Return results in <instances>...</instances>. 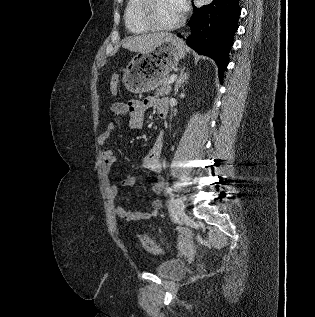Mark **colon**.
Wrapping results in <instances>:
<instances>
[{
  "label": "colon",
  "mask_w": 315,
  "mask_h": 317,
  "mask_svg": "<svg viewBox=\"0 0 315 317\" xmlns=\"http://www.w3.org/2000/svg\"><path fill=\"white\" fill-rule=\"evenodd\" d=\"M119 83V76L116 74L112 77L110 83V89L112 93H116ZM140 243L142 247L151 254H161L162 249L160 246L148 235L142 234L140 235Z\"/></svg>",
  "instance_id": "obj_1"
}]
</instances>
